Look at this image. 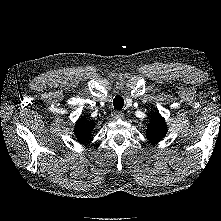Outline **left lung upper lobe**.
I'll use <instances>...</instances> for the list:
<instances>
[{
    "instance_id": "obj_1",
    "label": "left lung upper lobe",
    "mask_w": 221,
    "mask_h": 221,
    "mask_svg": "<svg viewBox=\"0 0 221 221\" xmlns=\"http://www.w3.org/2000/svg\"><path fill=\"white\" fill-rule=\"evenodd\" d=\"M167 133V125L163 117L158 113H154L150 123L148 124L146 137L152 141L157 142L161 140Z\"/></svg>"
}]
</instances>
